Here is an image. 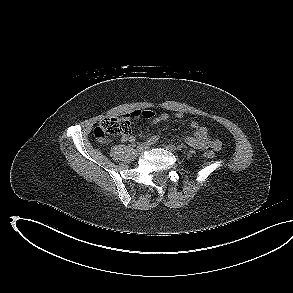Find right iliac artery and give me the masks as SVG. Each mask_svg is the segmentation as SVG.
<instances>
[{
  "mask_svg": "<svg viewBox=\"0 0 293 293\" xmlns=\"http://www.w3.org/2000/svg\"><path fill=\"white\" fill-rule=\"evenodd\" d=\"M158 140H159V136H153L149 140H147L146 143L149 144V145H151V144L156 143Z\"/></svg>",
  "mask_w": 293,
  "mask_h": 293,
  "instance_id": "1",
  "label": "right iliac artery"
}]
</instances>
